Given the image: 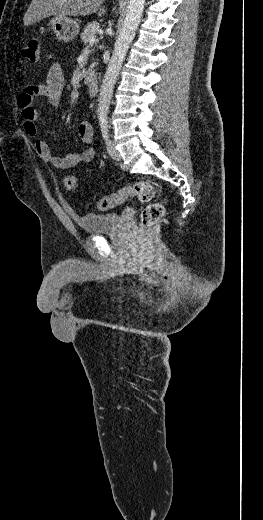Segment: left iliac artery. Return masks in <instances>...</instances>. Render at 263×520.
Returning a JSON list of instances; mask_svg holds the SVG:
<instances>
[{"label": "left iliac artery", "mask_w": 263, "mask_h": 520, "mask_svg": "<svg viewBox=\"0 0 263 520\" xmlns=\"http://www.w3.org/2000/svg\"><path fill=\"white\" fill-rule=\"evenodd\" d=\"M100 126H101V131H102V136L105 140H108L109 138V134H108V131H109V126H108V121L106 119H102L100 121Z\"/></svg>", "instance_id": "obj_1"}]
</instances>
